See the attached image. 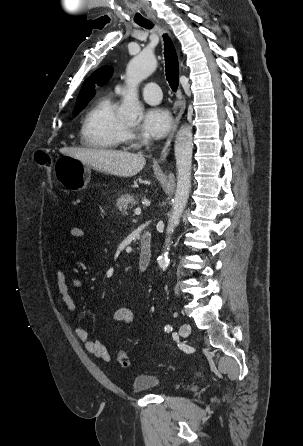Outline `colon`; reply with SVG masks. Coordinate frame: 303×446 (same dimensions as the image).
Instances as JSON below:
<instances>
[{"label":"colon","instance_id":"1","mask_svg":"<svg viewBox=\"0 0 303 446\" xmlns=\"http://www.w3.org/2000/svg\"><path fill=\"white\" fill-rule=\"evenodd\" d=\"M35 161L36 163L44 169V172L48 178L49 181H51L52 177V159L49 154L46 152H36L35 155ZM117 362L122 367H128L129 366V358L128 355L124 351H118L116 356Z\"/></svg>","mask_w":303,"mask_h":446}]
</instances>
